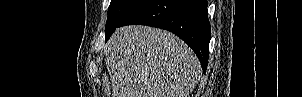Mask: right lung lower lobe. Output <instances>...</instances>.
Here are the masks:
<instances>
[{
  "instance_id": "right-lung-lower-lobe-1",
  "label": "right lung lower lobe",
  "mask_w": 302,
  "mask_h": 97,
  "mask_svg": "<svg viewBox=\"0 0 302 97\" xmlns=\"http://www.w3.org/2000/svg\"><path fill=\"white\" fill-rule=\"evenodd\" d=\"M130 24L173 32L193 49L205 73L211 36L207 0H144L118 27Z\"/></svg>"
}]
</instances>
